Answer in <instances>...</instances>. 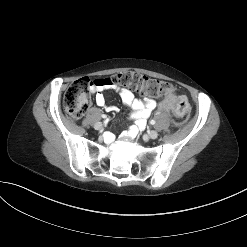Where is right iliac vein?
Masks as SVG:
<instances>
[{
    "label": "right iliac vein",
    "instance_id": "63e3f726",
    "mask_svg": "<svg viewBox=\"0 0 247 247\" xmlns=\"http://www.w3.org/2000/svg\"><path fill=\"white\" fill-rule=\"evenodd\" d=\"M94 128L96 130H103V124L101 122H97L95 125H94Z\"/></svg>",
    "mask_w": 247,
    "mask_h": 247
}]
</instances>
